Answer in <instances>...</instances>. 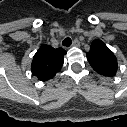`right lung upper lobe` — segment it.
Wrapping results in <instances>:
<instances>
[{
  "label": "right lung upper lobe",
  "instance_id": "1",
  "mask_svg": "<svg viewBox=\"0 0 127 127\" xmlns=\"http://www.w3.org/2000/svg\"><path fill=\"white\" fill-rule=\"evenodd\" d=\"M66 51L62 48L54 49L49 45H41L33 57L32 74L41 81L55 76L61 69Z\"/></svg>",
  "mask_w": 127,
  "mask_h": 127
}]
</instances>
